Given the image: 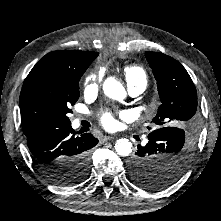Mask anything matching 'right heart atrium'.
I'll use <instances>...</instances> for the list:
<instances>
[{
    "instance_id": "obj_1",
    "label": "right heart atrium",
    "mask_w": 221,
    "mask_h": 221,
    "mask_svg": "<svg viewBox=\"0 0 221 221\" xmlns=\"http://www.w3.org/2000/svg\"><path fill=\"white\" fill-rule=\"evenodd\" d=\"M102 83V75L97 72L89 73L84 79V92L88 95L97 92Z\"/></svg>"
}]
</instances>
